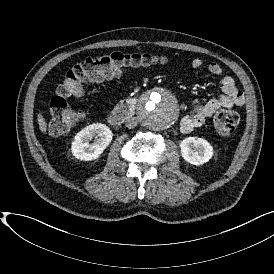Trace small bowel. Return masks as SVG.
<instances>
[{"label": "small bowel", "instance_id": "c3829d8e", "mask_svg": "<svg viewBox=\"0 0 274 274\" xmlns=\"http://www.w3.org/2000/svg\"><path fill=\"white\" fill-rule=\"evenodd\" d=\"M203 66V61L200 58H194L191 61V67L193 69H200ZM208 71L215 76L222 75V67L212 62L207 67ZM121 76H117L118 83H121ZM222 94L217 98L210 99L205 103L195 106L191 113L185 116L180 123V129L184 133H189L196 128H199L205 124L214 113L220 108H231L235 106H241L245 102L244 93L236 86L235 80L230 76H224L221 79Z\"/></svg>", "mask_w": 274, "mask_h": 274}]
</instances>
